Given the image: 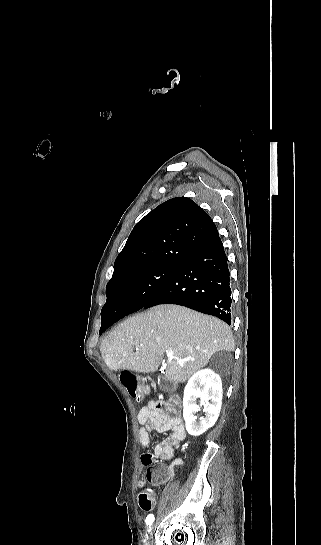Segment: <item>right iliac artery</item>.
<instances>
[{
	"mask_svg": "<svg viewBox=\"0 0 321 545\" xmlns=\"http://www.w3.org/2000/svg\"><path fill=\"white\" fill-rule=\"evenodd\" d=\"M154 521V515L153 514H149L146 518V524L148 527H150L152 525Z\"/></svg>",
	"mask_w": 321,
	"mask_h": 545,
	"instance_id": "1",
	"label": "right iliac artery"
}]
</instances>
